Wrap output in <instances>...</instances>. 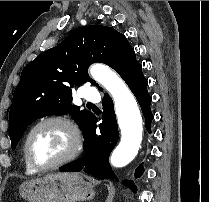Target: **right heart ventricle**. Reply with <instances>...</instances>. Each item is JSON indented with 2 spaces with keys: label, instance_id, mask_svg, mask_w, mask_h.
Listing matches in <instances>:
<instances>
[{
  "label": "right heart ventricle",
  "instance_id": "obj_1",
  "mask_svg": "<svg viewBox=\"0 0 209 202\" xmlns=\"http://www.w3.org/2000/svg\"><path fill=\"white\" fill-rule=\"evenodd\" d=\"M23 161H24V168H25L26 173H36V171L33 170V169L29 166V164L27 163V161H26V159H25V157H24V154H23Z\"/></svg>",
  "mask_w": 209,
  "mask_h": 202
}]
</instances>
